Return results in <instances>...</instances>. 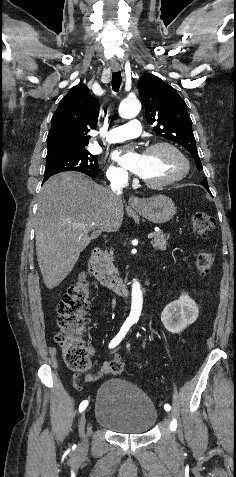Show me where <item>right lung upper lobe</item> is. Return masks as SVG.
I'll return each mask as SVG.
<instances>
[{
  "label": "right lung upper lobe",
  "instance_id": "cb5924a9",
  "mask_svg": "<svg viewBox=\"0 0 236 477\" xmlns=\"http://www.w3.org/2000/svg\"><path fill=\"white\" fill-rule=\"evenodd\" d=\"M99 102L85 84L72 87L52 117L47 136V160L64 157L88 145V132L97 126Z\"/></svg>",
  "mask_w": 236,
  "mask_h": 477
}]
</instances>
